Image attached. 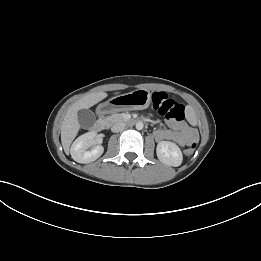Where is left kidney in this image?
Segmentation results:
<instances>
[{
  "label": "left kidney",
  "mask_w": 261,
  "mask_h": 261,
  "mask_svg": "<svg viewBox=\"0 0 261 261\" xmlns=\"http://www.w3.org/2000/svg\"><path fill=\"white\" fill-rule=\"evenodd\" d=\"M158 159L165 165L177 167L183 160L180 148L173 142L161 141L156 148Z\"/></svg>",
  "instance_id": "left-kidney-1"
}]
</instances>
